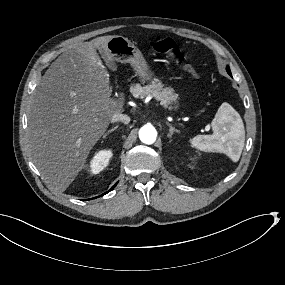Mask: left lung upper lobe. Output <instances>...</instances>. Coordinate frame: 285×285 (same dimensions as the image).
I'll return each mask as SVG.
<instances>
[{
	"label": "left lung upper lobe",
	"instance_id": "left-lung-upper-lobe-1",
	"mask_svg": "<svg viewBox=\"0 0 285 285\" xmlns=\"http://www.w3.org/2000/svg\"><path fill=\"white\" fill-rule=\"evenodd\" d=\"M227 72L231 75L230 68L227 66Z\"/></svg>",
	"mask_w": 285,
	"mask_h": 285
}]
</instances>
